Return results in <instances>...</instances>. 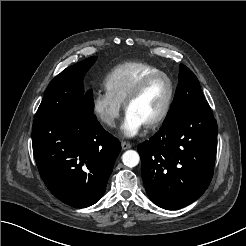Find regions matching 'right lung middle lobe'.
<instances>
[{"instance_id": "right-lung-middle-lobe-1", "label": "right lung middle lobe", "mask_w": 246, "mask_h": 246, "mask_svg": "<svg viewBox=\"0 0 246 246\" xmlns=\"http://www.w3.org/2000/svg\"><path fill=\"white\" fill-rule=\"evenodd\" d=\"M94 63L89 57L64 69L48 85L37 110L35 120L65 119L78 111L92 113L94 109L92 90L84 92L83 76Z\"/></svg>"}]
</instances>
